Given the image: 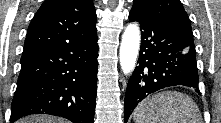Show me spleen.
Listing matches in <instances>:
<instances>
[{"instance_id": "3e777b00", "label": "spleen", "mask_w": 221, "mask_h": 123, "mask_svg": "<svg viewBox=\"0 0 221 123\" xmlns=\"http://www.w3.org/2000/svg\"><path fill=\"white\" fill-rule=\"evenodd\" d=\"M135 123H202L197 104L177 91H166L144 99L133 113Z\"/></svg>"}]
</instances>
